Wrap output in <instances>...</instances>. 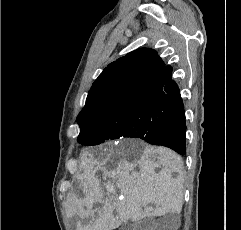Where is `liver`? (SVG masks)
I'll return each instance as SVG.
<instances>
[{"mask_svg":"<svg viewBox=\"0 0 241 230\" xmlns=\"http://www.w3.org/2000/svg\"><path fill=\"white\" fill-rule=\"evenodd\" d=\"M135 148H144L143 156L135 162L127 161V156L133 154ZM80 168L84 198L71 195L67 209L72 216L92 219L89 223L78 222L76 230H110L115 224L128 220L137 221L182 210L183 161L170 149L126 141L105 149L101 159L84 153ZM156 169L160 170L157 172ZM173 173L177 176L174 177ZM99 175L114 181L123 199L119 200L117 194L105 197ZM94 203L102 205L97 216ZM149 204H155V207H149Z\"/></svg>","mask_w":241,"mask_h":230,"instance_id":"6515ba94","label":"liver"}]
</instances>
